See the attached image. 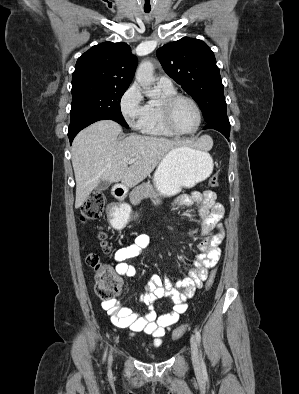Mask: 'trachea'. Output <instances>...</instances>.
<instances>
[{"instance_id": "obj_1", "label": "trachea", "mask_w": 299, "mask_h": 394, "mask_svg": "<svg viewBox=\"0 0 299 394\" xmlns=\"http://www.w3.org/2000/svg\"><path fill=\"white\" fill-rule=\"evenodd\" d=\"M145 12H146V13H149V12H150V10H145Z\"/></svg>"}]
</instances>
